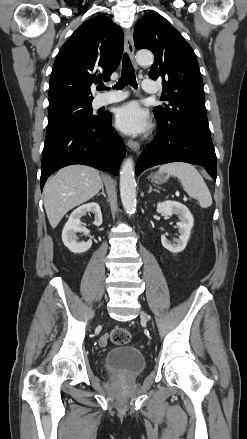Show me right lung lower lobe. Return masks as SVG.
<instances>
[{
  "mask_svg": "<svg viewBox=\"0 0 247 439\" xmlns=\"http://www.w3.org/2000/svg\"><path fill=\"white\" fill-rule=\"evenodd\" d=\"M125 156L122 138L112 128L111 114L91 122H76L46 133L41 164V189L47 178L62 167L84 164L118 174Z\"/></svg>",
  "mask_w": 247,
  "mask_h": 439,
  "instance_id": "right-lung-lower-lobe-1",
  "label": "right lung lower lobe"
}]
</instances>
